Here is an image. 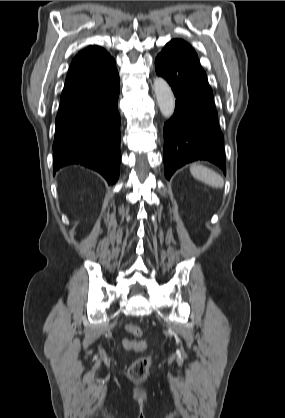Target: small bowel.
I'll list each match as a JSON object with an SVG mask.
<instances>
[{
	"label": "small bowel",
	"mask_w": 285,
	"mask_h": 418,
	"mask_svg": "<svg viewBox=\"0 0 285 418\" xmlns=\"http://www.w3.org/2000/svg\"><path fill=\"white\" fill-rule=\"evenodd\" d=\"M123 346L127 350H133L136 352L142 351L145 348L144 341H134V340H123Z\"/></svg>",
	"instance_id": "obj_1"
}]
</instances>
